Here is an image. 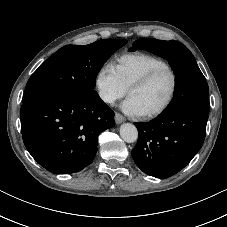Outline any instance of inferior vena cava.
<instances>
[{
  "mask_svg": "<svg viewBox=\"0 0 227 227\" xmlns=\"http://www.w3.org/2000/svg\"><path fill=\"white\" fill-rule=\"evenodd\" d=\"M101 98L103 99V101L108 103H112L114 101V98L110 95H103Z\"/></svg>",
  "mask_w": 227,
  "mask_h": 227,
  "instance_id": "1",
  "label": "inferior vena cava"
}]
</instances>
